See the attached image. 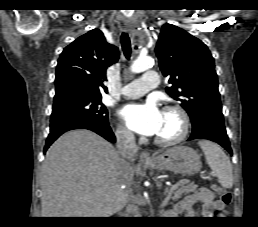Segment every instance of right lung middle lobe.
<instances>
[{
	"mask_svg": "<svg viewBox=\"0 0 258 227\" xmlns=\"http://www.w3.org/2000/svg\"><path fill=\"white\" fill-rule=\"evenodd\" d=\"M102 96L81 91L58 93L54 97L52 115L69 114L98 125H108V111Z\"/></svg>",
	"mask_w": 258,
	"mask_h": 227,
	"instance_id": "obj_1",
	"label": "right lung middle lobe"
}]
</instances>
